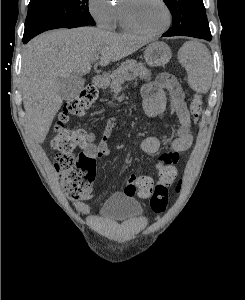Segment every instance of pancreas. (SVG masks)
<instances>
[{"instance_id":"1","label":"pancreas","mask_w":245,"mask_h":300,"mask_svg":"<svg viewBox=\"0 0 245 300\" xmlns=\"http://www.w3.org/2000/svg\"><path fill=\"white\" fill-rule=\"evenodd\" d=\"M137 78L149 80L151 79V71L135 60H128L112 73L111 91L117 94L122 90L124 82L136 80Z\"/></svg>"}]
</instances>
